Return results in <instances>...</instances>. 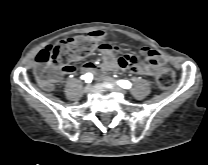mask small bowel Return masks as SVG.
I'll return each mask as SVG.
<instances>
[{"label":"small bowel","mask_w":208,"mask_h":165,"mask_svg":"<svg viewBox=\"0 0 208 165\" xmlns=\"http://www.w3.org/2000/svg\"><path fill=\"white\" fill-rule=\"evenodd\" d=\"M105 30H95L89 35L95 38L96 42H100L107 36ZM98 51L102 55L101 65L95 62H86L82 69L86 72H105L117 69H125L131 73L139 75L154 76L160 66L161 56L160 54L149 47L142 48L143 60H140L137 56L132 54H125L119 59L116 58L118 48L108 43H100L97 45ZM129 58L126 60V56ZM78 71V66L75 63H68L63 65L62 72L65 75L75 74Z\"/></svg>","instance_id":"1"}]
</instances>
